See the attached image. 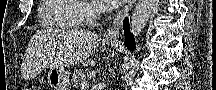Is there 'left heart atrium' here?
Masks as SVG:
<instances>
[{"mask_svg": "<svg viewBox=\"0 0 216 90\" xmlns=\"http://www.w3.org/2000/svg\"><path fill=\"white\" fill-rule=\"evenodd\" d=\"M124 0H96L100 10H117V7H122Z\"/></svg>", "mask_w": 216, "mask_h": 90, "instance_id": "left-heart-atrium-1", "label": "left heart atrium"}]
</instances>
